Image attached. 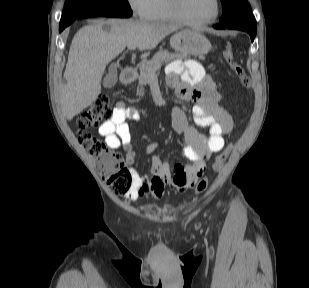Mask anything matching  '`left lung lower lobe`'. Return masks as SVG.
I'll use <instances>...</instances> for the list:
<instances>
[{"label": "left lung lower lobe", "instance_id": "left-lung-lower-lobe-1", "mask_svg": "<svg viewBox=\"0 0 309 288\" xmlns=\"http://www.w3.org/2000/svg\"><path fill=\"white\" fill-rule=\"evenodd\" d=\"M216 29H238L249 33L251 41H254L257 32L256 20L253 15H248L236 19L229 23H220L214 26Z\"/></svg>", "mask_w": 309, "mask_h": 288}]
</instances>
